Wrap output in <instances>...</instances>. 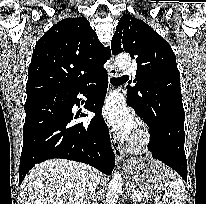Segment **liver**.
Segmentation results:
<instances>
[{
	"mask_svg": "<svg viewBox=\"0 0 206 204\" xmlns=\"http://www.w3.org/2000/svg\"><path fill=\"white\" fill-rule=\"evenodd\" d=\"M93 176L90 166L65 159L44 161L24 178L23 204H83Z\"/></svg>",
	"mask_w": 206,
	"mask_h": 204,
	"instance_id": "obj_1",
	"label": "liver"
}]
</instances>
